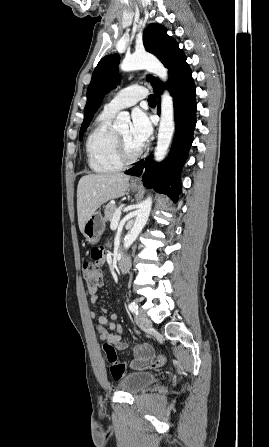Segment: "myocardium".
I'll return each instance as SVG.
<instances>
[{
	"label": "myocardium",
	"mask_w": 269,
	"mask_h": 447,
	"mask_svg": "<svg viewBox=\"0 0 269 447\" xmlns=\"http://www.w3.org/2000/svg\"><path fill=\"white\" fill-rule=\"evenodd\" d=\"M114 146L117 160L122 165L132 164L142 155L144 151V148L141 147V149L136 153H131L116 132L114 133Z\"/></svg>",
	"instance_id": "myocardium-1"
}]
</instances>
